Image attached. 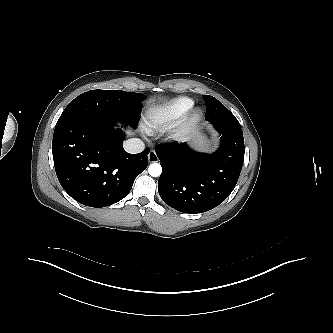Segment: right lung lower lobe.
Wrapping results in <instances>:
<instances>
[{"label": "right lung lower lobe", "instance_id": "obj_1", "mask_svg": "<svg viewBox=\"0 0 333 333\" xmlns=\"http://www.w3.org/2000/svg\"><path fill=\"white\" fill-rule=\"evenodd\" d=\"M114 123L57 122L52 153L63 189L77 202L106 207L128 195L135 178L148 166L149 148L129 154L125 134Z\"/></svg>", "mask_w": 333, "mask_h": 333}]
</instances>
